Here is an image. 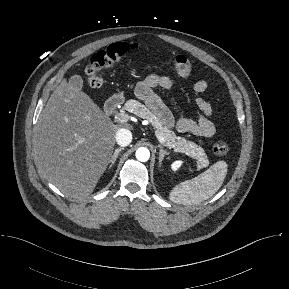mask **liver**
<instances>
[{
  "label": "liver",
  "mask_w": 289,
  "mask_h": 289,
  "mask_svg": "<svg viewBox=\"0 0 289 289\" xmlns=\"http://www.w3.org/2000/svg\"><path fill=\"white\" fill-rule=\"evenodd\" d=\"M120 127L86 93L63 80L39 116L38 171L67 197H87L110 163Z\"/></svg>",
  "instance_id": "6515ba94"
}]
</instances>
